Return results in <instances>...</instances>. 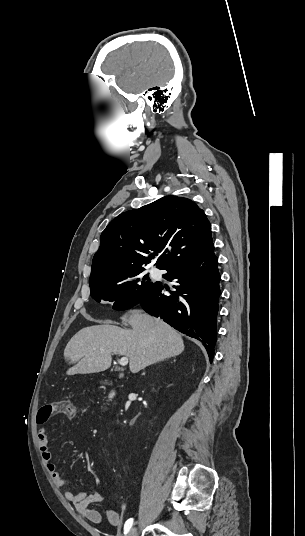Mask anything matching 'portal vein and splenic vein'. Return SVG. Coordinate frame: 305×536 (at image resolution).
<instances>
[{
  "instance_id": "obj_1",
  "label": "portal vein and splenic vein",
  "mask_w": 305,
  "mask_h": 536,
  "mask_svg": "<svg viewBox=\"0 0 305 536\" xmlns=\"http://www.w3.org/2000/svg\"><path fill=\"white\" fill-rule=\"evenodd\" d=\"M120 366H127L128 364V358H121V360H118Z\"/></svg>"
}]
</instances>
